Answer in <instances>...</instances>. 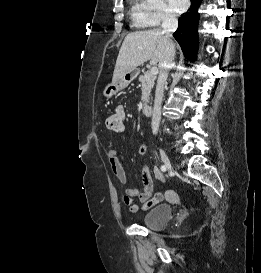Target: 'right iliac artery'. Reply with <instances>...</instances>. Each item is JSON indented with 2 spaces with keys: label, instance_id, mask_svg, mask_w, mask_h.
<instances>
[{
  "label": "right iliac artery",
  "instance_id": "obj_1",
  "mask_svg": "<svg viewBox=\"0 0 261 273\" xmlns=\"http://www.w3.org/2000/svg\"><path fill=\"white\" fill-rule=\"evenodd\" d=\"M161 170L163 171V172H165L166 171V167H165V165H161Z\"/></svg>",
  "mask_w": 261,
  "mask_h": 273
}]
</instances>
